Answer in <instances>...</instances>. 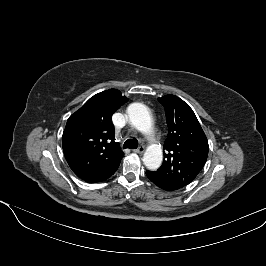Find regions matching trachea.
Returning <instances> with one entry per match:
<instances>
[{
	"label": "trachea",
	"instance_id": "obj_1",
	"mask_svg": "<svg viewBox=\"0 0 266 266\" xmlns=\"http://www.w3.org/2000/svg\"><path fill=\"white\" fill-rule=\"evenodd\" d=\"M124 148H129V149H137L138 147V142L136 139H128L124 143Z\"/></svg>",
	"mask_w": 266,
	"mask_h": 266
}]
</instances>
